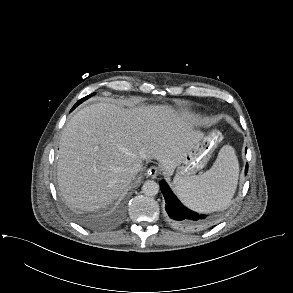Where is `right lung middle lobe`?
Instances as JSON below:
<instances>
[{
	"label": "right lung middle lobe",
	"mask_w": 293,
	"mask_h": 293,
	"mask_svg": "<svg viewBox=\"0 0 293 293\" xmlns=\"http://www.w3.org/2000/svg\"><path fill=\"white\" fill-rule=\"evenodd\" d=\"M94 95H95V93H92V94H90V95H88V96L82 98L81 100H79V101L75 104V107L78 106V105H79L80 103H82L83 101L87 100L88 98L94 96Z\"/></svg>",
	"instance_id": "1"
}]
</instances>
